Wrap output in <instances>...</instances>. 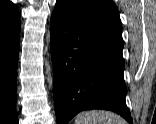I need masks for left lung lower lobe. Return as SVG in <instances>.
I'll return each mask as SVG.
<instances>
[{"mask_svg": "<svg viewBox=\"0 0 156 124\" xmlns=\"http://www.w3.org/2000/svg\"><path fill=\"white\" fill-rule=\"evenodd\" d=\"M50 33L57 123L66 124L83 110L102 109L132 124L125 102L122 38L76 18L59 2Z\"/></svg>", "mask_w": 156, "mask_h": 124, "instance_id": "obj_1", "label": "left lung lower lobe"}]
</instances>
